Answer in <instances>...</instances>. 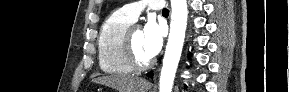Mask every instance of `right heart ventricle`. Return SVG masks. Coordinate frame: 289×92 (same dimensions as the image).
Segmentation results:
<instances>
[{
  "instance_id": "right-heart-ventricle-1",
  "label": "right heart ventricle",
  "mask_w": 289,
  "mask_h": 92,
  "mask_svg": "<svg viewBox=\"0 0 289 92\" xmlns=\"http://www.w3.org/2000/svg\"><path fill=\"white\" fill-rule=\"evenodd\" d=\"M132 23L120 10L104 20L97 40L99 66L104 73L127 75L133 72L122 53L123 36Z\"/></svg>"
}]
</instances>
